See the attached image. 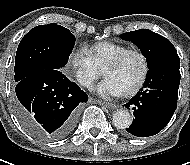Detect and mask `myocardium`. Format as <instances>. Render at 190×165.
<instances>
[{"label":"myocardium","instance_id":"f54148a6","mask_svg":"<svg viewBox=\"0 0 190 165\" xmlns=\"http://www.w3.org/2000/svg\"><path fill=\"white\" fill-rule=\"evenodd\" d=\"M131 55H137L140 57V59L142 60V64H143V70H142L141 77L139 78L137 83L134 86H132L130 89L123 92V95H126V96L135 94L145 84V82L148 78V75H149V70H150V64H149L147 55L139 49H128V50L124 51L123 53L119 54L118 56H116L110 62H108L103 70V73H104V71L106 69L116 68V67L120 66Z\"/></svg>","mask_w":190,"mask_h":165}]
</instances>
